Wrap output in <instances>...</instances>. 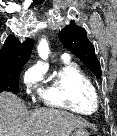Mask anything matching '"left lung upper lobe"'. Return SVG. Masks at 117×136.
Masks as SVG:
<instances>
[{
	"mask_svg": "<svg viewBox=\"0 0 117 136\" xmlns=\"http://www.w3.org/2000/svg\"><path fill=\"white\" fill-rule=\"evenodd\" d=\"M59 39L97 78L101 77L100 63L96 58L93 44L87 38L85 29L77 26L74 21H71V24L59 33Z\"/></svg>",
	"mask_w": 117,
	"mask_h": 136,
	"instance_id": "1",
	"label": "left lung upper lobe"
}]
</instances>
